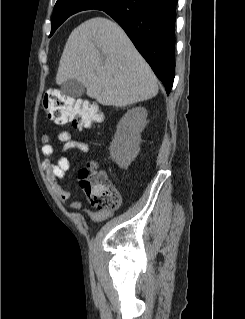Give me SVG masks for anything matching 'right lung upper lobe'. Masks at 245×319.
<instances>
[{"label":"right lung upper lobe","mask_w":245,"mask_h":319,"mask_svg":"<svg viewBox=\"0 0 245 319\" xmlns=\"http://www.w3.org/2000/svg\"><path fill=\"white\" fill-rule=\"evenodd\" d=\"M57 1H59V0H57ZM67 1L73 2L72 7H71V15L74 13H77L79 11H82V8L79 5L83 0H67ZM105 9H107V8H105ZM101 10H103V9H101Z\"/></svg>","instance_id":"cb5924a9"}]
</instances>
